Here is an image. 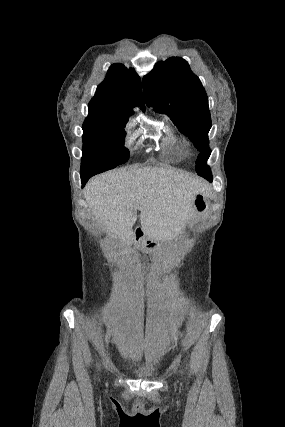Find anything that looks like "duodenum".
I'll return each instance as SVG.
<instances>
[{"label":"duodenum","mask_w":285,"mask_h":427,"mask_svg":"<svg viewBox=\"0 0 285 427\" xmlns=\"http://www.w3.org/2000/svg\"><path fill=\"white\" fill-rule=\"evenodd\" d=\"M133 239H134V242H135V243H139V244H141V243H143V242H144V240H145V233H144V231H143V229H142V228L137 227V228L134 230Z\"/></svg>","instance_id":"obj_1"}]
</instances>
